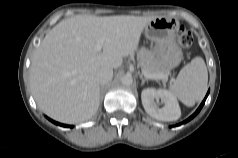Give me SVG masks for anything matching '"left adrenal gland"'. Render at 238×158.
Returning <instances> with one entry per match:
<instances>
[{
  "label": "left adrenal gland",
  "instance_id": "1",
  "mask_svg": "<svg viewBox=\"0 0 238 158\" xmlns=\"http://www.w3.org/2000/svg\"><path fill=\"white\" fill-rule=\"evenodd\" d=\"M139 77L141 79V85L143 86L145 84V82L148 81V79L144 78L142 74H140Z\"/></svg>",
  "mask_w": 238,
  "mask_h": 158
}]
</instances>
